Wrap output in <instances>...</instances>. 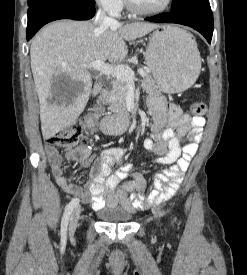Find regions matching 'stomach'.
Instances as JSON below:
<instances>
[{
  "label": "stomach",
  "mask_w": 247,
  "mask_h": 275,
  "mask_svg": "<svg viewBox=\"0 0 247 275\" xmlns=\"http://www.w3.org/2000/svg\"><path fill=\"white\" fill-rule=\"evenodd\" d=\"M192 40L175 26H164L150 36L145 61L160 91L182 92L198 78L201 58Z\"/></svg>",
  "instance_id": "obj_1"
}]
</instances>
